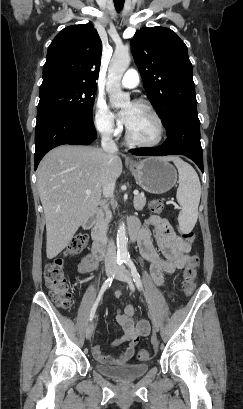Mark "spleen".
<instances>
[{
    "label": "spleen",
    "instance_id": "spleen-1",
    "mask_svg": "<svg viewBox=\"0 0 243 409\" xmlns=\"http://www.w3.org/2000/svg\"><path fill=\"white\" fill-rule=\"evenodd\" d=\"M179 174V187L177 189V201L182 210L178 216L180 230L190 232L198 218V206L201 195L199 177L194 168L178 157L172 158Z\"/></svg>",
    "mask_w": 243,
    "mask_h": 409
}]
</instances>
